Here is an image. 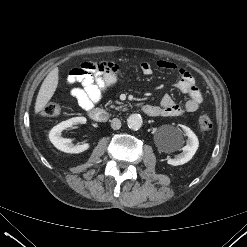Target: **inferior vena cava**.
<instances>
[{"mask_svg": "<svg viewBox=\"0 0 247 247\" xmlns=\"http://www.w3.org/2000/svg\"><path fill=\"white\" fill-rule=\"evenodd\" d=\"M111 127L114 130H118L121 127V121L118 118H114L111 121Z\"/></svg>", "mask_w": 247, "mask_h": 247, "instance_id": "602c4592", "label": "inferior vena cava"}]
</instances>
